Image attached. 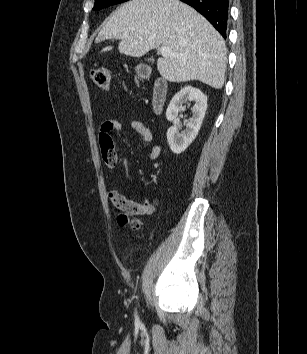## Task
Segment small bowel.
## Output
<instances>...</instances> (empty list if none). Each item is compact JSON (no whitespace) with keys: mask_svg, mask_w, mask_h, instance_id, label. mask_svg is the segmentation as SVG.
I'll list each match as a JSON object with an SVG mask.
<instances>
[{"mask_svg":"<svg viewBox=\"0 0 307 354\" xmlns=\"http://www.w3.org/2000/svg\"><path fill=\"white\" fill-rule=\"evenodd\" d=\"M127 127L137 132L142 137L143 142L147 147L150 146L156 140L155 134L153 133L152 129L147 124L141 121L130 120L127 123ZM123 128V124L117 120L105 121L100 128L99 141L102 157L105 164L111 169L115 168L117 164V154L112 140V133L120 132L123 130ZM161 152V145L158 143L154 144L148 154V160H157L161 155ZM119 183H121V180H119ZM110 197L117 207H126L129 209H134L140 207L143 204H148L152 208V213L155 209V202L137 203L133 200L127 199L123 195L119 194L117 191H112L110 193Z\"/></svg>","mask_w":307,"mask_h":354,"instance_id":"small-bowel-1","label":"small bowel"}]
</instances>
